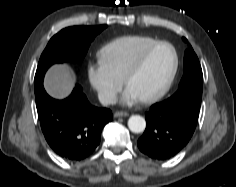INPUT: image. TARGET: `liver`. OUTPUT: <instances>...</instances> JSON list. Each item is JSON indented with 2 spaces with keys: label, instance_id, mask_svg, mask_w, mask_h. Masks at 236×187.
<instances>
[{
  "label": "liver",
  "instance_id": "1",
  "mask_svg": "<svg viewBox=\"0 0 236 187\" xmlns=\"http://www.w3.org/2000/svg\"><path fill=\"white\" fill-rule=\"evenodd\" d=\"M75 82V75L68 65H54L46 74L44 87L50 96L63 99L71 93Z\"/></svg>",
  "mask_w": 236,
  "mask_h": 187
}]
</instances>
